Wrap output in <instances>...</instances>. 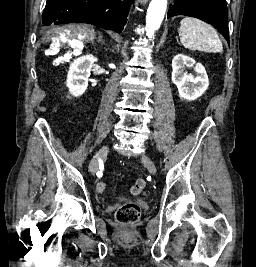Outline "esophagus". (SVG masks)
Segmentation results:
<instances>
[{"label": "esophagus", "instance_id": "34e87169", "mask_svg": "<svg viewBox=\"0 0 256 267\" xmlns=\"http://www.w3.org/2000/svg\"><path fill=\"white\" fill-rule=\"evenodd\" d=\"M137 2H139V3H147L148 0H137Z\"/></svg>", "mask_w": 256, "mask_h": 267}]
</instances>
